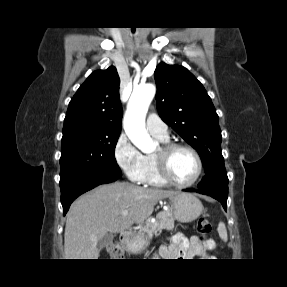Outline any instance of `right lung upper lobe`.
<instances>
[{"label": "right lung upper lobe", "mask_w": 287, "mask_h": 287, "mask_svg": "<svg viewBox=\"0 0 287 287\" xmlns=\"http://www.w3.org/2000/svg\"><path fill=\"white\" fill-rule=\"evenodd\" d=\"M120 79L114 66L94 71L71 99L63 131L88 125L100 131H121Z\"/></svg>", "instance_id": "obj_1"}]
</instances>
